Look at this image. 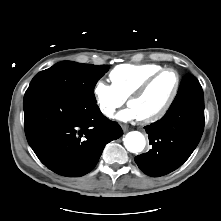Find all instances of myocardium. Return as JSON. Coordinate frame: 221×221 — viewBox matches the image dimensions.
<instances>
[{"mask_svg": "<svg viewBox=\"0 0 221 221\" xmlns=\"http://www.w3.org/2000/svg\"><path fill=\"white\" fill-rule=\"evenodd\" d=\"M165 72H172L175 75L176 83H175V87L173 89V92L170 95V97H169L168 101L166 102V104L164 105V107L160 111H158L157 113H155L149 117L139 119L140 122H142L144 124H151V123H154V122L162 119L171 109L173 103L175 102V100L177 98V95H178L179 89H180V85H181V78H180L178 71L174 68H171V67L162 68V69L156 71L155 73H153L152 75H150L136 90H134L128 96L127 103H129V101H131L134 98L142 96L149 89L151 84L160 75H162Z\"/></svg>", "mask_w": 221, "mask_h": 221, "instance_id": "obj_1", "label": "myocardium"}]
</instances>
